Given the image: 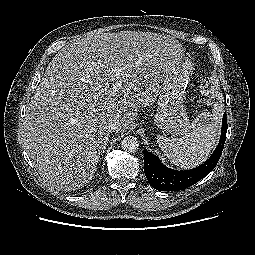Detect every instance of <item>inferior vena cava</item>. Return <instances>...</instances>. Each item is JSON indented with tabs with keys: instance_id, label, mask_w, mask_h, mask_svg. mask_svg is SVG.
Wrapping results in <instances>:
<instances>
[{
	"instance_id": "obj_1",
	"label": "inferior vena cava",
	"mask_w": 255,
	"mask_h": 255,
	"mask_svg": "<svg viewBox=\"0 0 255 255\" xmlns=\"http://www.w3.org/2000/svg\"><path fill=\"white\" fill-rule=\"evenodd\" d=\"M118 128H119V122L115 119L110 120L107 124V130L109 132L117 131Z\"/></svg>"
}]
</instances>
